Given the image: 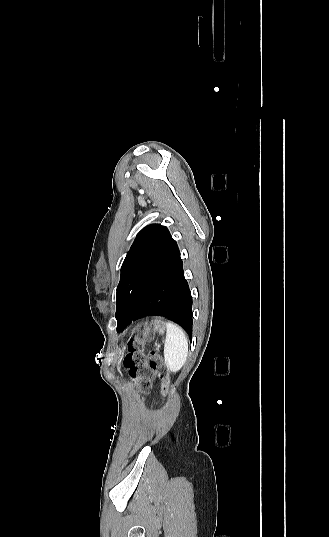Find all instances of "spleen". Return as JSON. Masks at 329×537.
I'll use <instances>...</instances> for the list:
<instances>
[{"label":"spleen","instance_id":"spleen-1","mask_svg":"<svg viewBox=\"0 0 329 537\" xmlns=\"http://www.w3.org/2000/svg\"><path fill=\"white\" fill-rule=\"evenodd\" d=\"M164 345V359L172 372L179 371L188 356V341L184 331L178 325L168 322Z\"/></svg>","mask_w":329,"mask_h":537}]
</instances>
